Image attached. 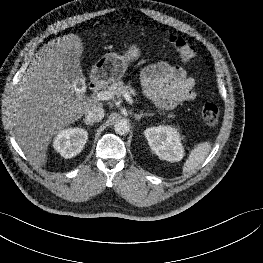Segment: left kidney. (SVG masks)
I'll return each instance as SVG.
<instances>
[{
  "instance_id": "1",
  "label": "left kidney",
  "mask_w": 263,
  "mask_h": 263,
  "mask_svg": "<svg viewBox=\"0 0 263 263\" xmlns=\"http://www.w3.org/2000/svg\"><path fill=\"white\" fill-rule=\"evenodd\" d=\"M144 134L152 151L160 159L178 162L183 158L184 149L177 129L170 126L150 127Z\"/></svg>"
}]
</instances>
